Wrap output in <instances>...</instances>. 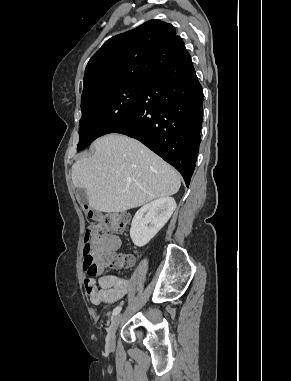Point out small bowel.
I'll return each instance as SVG.
<instances>
[{"mask_svg": "<svg viewBox=\"0 0 291 381\" xmlns=\"http://www.w3.org/2000/svg\"><path fill=\"white\" fill-rule=\"evenodd\" d=\"M94 240L97 242L100 252H115L121 245V239L117 235L96 232ZM84 286L90 301L95 305H100L114 303L123 298L128 291L129 283L124 278L105 274L97 280L93 277L85 278Z\"/></svg>", "mask_w": 291, "mask_h": 381, "instance_id": "1", "label": "small bowel"}]
</instances>
